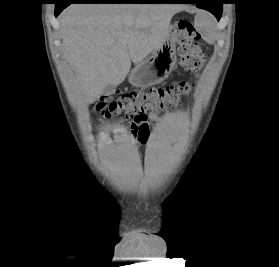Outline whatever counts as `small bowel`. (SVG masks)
<instances>
[{"label": "small bowel", "instance_id": "small-bowel-1", "mask_svg": "<svg viewBox=\"0 0 279 267\" xmlns=\"http://www.w3.org/2000/svg\"><path fill=\"white\" fill-rule=\"evenodd\" d=\"M159 119L160 117L157 114L150 113L140 120L131 122L129 128L136 141L142 144L146 143L152 124Z\"/></svg>", "mask_w": 279, "mask_h": 267}]
</instances>
